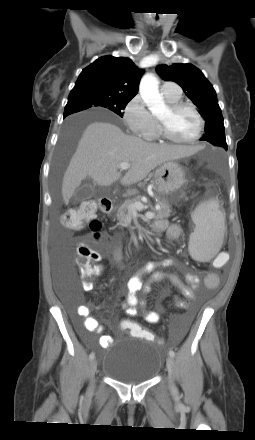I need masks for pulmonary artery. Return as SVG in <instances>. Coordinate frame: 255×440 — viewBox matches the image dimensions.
Here are the masks:
<instances>
[{"label":"pulmonary artery","instance_id":"pulmonary-artery-1","mask_svg":"<svg viewBox=\"0 0 255 440\" xmlns=\"http://www.w3.org/2000/svg\"><path fill=\"white\" fill-rule=\"evenodd\" d=\"M161 91L163 94H173V95H180L181 90L172 82H164L161 86Z\"/></svg>","mask_w":255,"mask_h":440}]
</instances>
